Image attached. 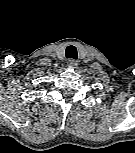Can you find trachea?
<instances>
[{
  "instance_id": "3493384b",
  "label": "trachea",
  "mask_w": 135,
  "mask_h": 153,
  "mask_svg": "<svg viewBox=\"0 0 135 153\" xmlns=\"http://www.w3.org/2000/svg\"><path fill=\"white\" fill-rule=\"evenodd\" d=\"M65 54L67 58L71 59H77L78 57L77 50L73 45H70L66 48Z\"/></svg>"
}]
</instances>
